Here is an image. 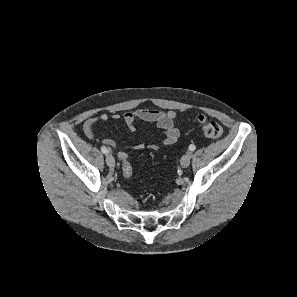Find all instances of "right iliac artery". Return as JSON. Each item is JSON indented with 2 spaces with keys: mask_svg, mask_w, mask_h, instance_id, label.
Returning a JSON list of instances; mask_svg holds the SVG:
<instances>
[{
  "mask_svg": "<svg viewBox=\"0 0 297 297\" xmlns=\"http://www.w3.org/2000/svg\"><path fill=\"white\" fill-rule=\"evenodd\" d=\"M101 151H102V153H104V154H107V153H108V150H107V148H106L105 146H102V147H101Z\"/></svg>",
  "mask_w": 297,
  "mask_h": 297,
  "instance_id": "obj_1",
  "label": "right iliac artery"
}]
</instances>
